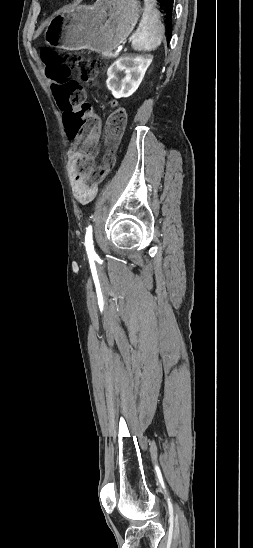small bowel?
I'll return each instance as SVG.
<instances>
[{"label":"small bowel","instance_id":"small-bowel-1","mask_svg":"<svg viewBox=\"0 0 253 548\" xmlns=\"http://www.w3.org/2000/svg\"><path fill=\"white\" fill-rule=\"evenodd\" d=\"M81 140V136L73 137V142L67 151V167L73 195L79 203L86 205L94 200L99 187L98 184L88 182L85 176L75 172L74 166L79 154Z\"/></svg>","mask_w":253,"mask_h":548}]
</instances>
